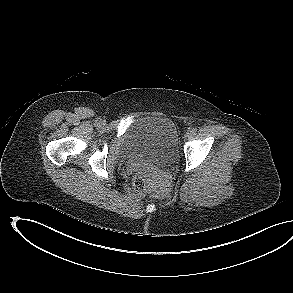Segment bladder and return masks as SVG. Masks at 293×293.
<instances>
[{
  "label": "bladder",
  "mask_w": 293,
  "mask_h": 293,
  "mask_svg": "<svg viewBox=\"0 0 293 293\" xmlns=\"http://www.w3.org/2000/svg\"><path fill=\"white\" fill-rule=\"evenodd\" d=\"M124 150L129 156L158 167H167L178 158L177 128L165 116H140L129 125L124 134Z\"/></svg>",
  "instance_id": "31cf9c89"
}]
</instances>
